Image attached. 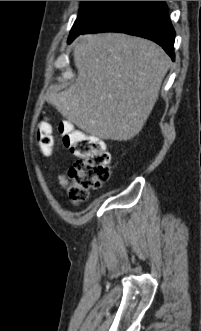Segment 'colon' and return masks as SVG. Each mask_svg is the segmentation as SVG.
<instances>
[{"label":"colon","mask_w":201,"mask_h":331,"mask_svg":"<svg viewBox=\"0 0 201 331\" xmlns=\"http://www.w3.org/2000/svg\"><path fill=\"white\" fill-rule=\"evenodd\" d=\"M59 131L65 147L76 157V162L61 181L71 201L79 204L109 179L110 155L100 139L75 129L70 123H61ZM38 142L44 154L52 151L53 137L46 123L39 127Z\"/></svg>","instance_id":"colon-1"}]
</instances>
